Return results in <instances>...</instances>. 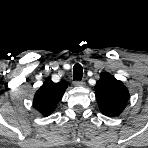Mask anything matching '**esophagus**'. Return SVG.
Returning a JSON list of instances; mask_svg holds the SVG:
<instances>
[{"label": "esophagus", "instance_id": "esophagus-1", "mask_svg": "<svg viewBox=\"0 0 148 148\" xmlns=\"http://www.w3.org/2000/svg\"><path fill=\"white\" fill-rule=\"evenodd\" d=\"M74 84L77 85V86H84L85 82L77 80V81L74 82Z\"/></svg>", "mask_w": 148, "mask_h": 148}]
</instances>
